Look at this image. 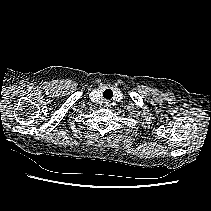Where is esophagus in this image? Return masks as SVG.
Here are the masks:
<instances>
[{
  "label": "esophagus",
  "instance_id": "34e87169",
  "mask_svg": "<svg viewBox=\"0 0 211 211\" xmlns=\"http://www.w3.org/2000/svg\"><path fill=\"white\" fill-rule=\"evenodd\" d=\"M108 106H109V104L107 103V104H106V107H108Z\"/></svg>",
  "mask_w": 211,
  "mask_h": 211
}]
</instances>
